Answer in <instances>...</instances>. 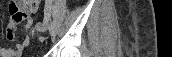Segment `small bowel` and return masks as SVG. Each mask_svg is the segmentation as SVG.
I'll return each instance as SVG.
<instances>
[{
	"label": "small bowel",
	"mask_w": 172,
	"mask_h": 57,
	"mask_svg": "<svg viewBox=\"0 0 172 57\" xmlns=\"http://www.w3.org/2000/svg\"><path fill=\"white\" fill-rule=\"evenodd\" d=\"M40 7L39 0L17 1L11 6L10 21L6 28V36L11 41H16L17 25L26 21V29L29 30L32 24L31 15L36 13ZM30 43V36L24 37L17 42L14 48L0 47L1 57H19L26 46Z\"/></svg>",
	"instance_id": "1"
}]
</instances>
